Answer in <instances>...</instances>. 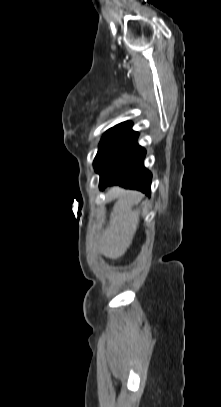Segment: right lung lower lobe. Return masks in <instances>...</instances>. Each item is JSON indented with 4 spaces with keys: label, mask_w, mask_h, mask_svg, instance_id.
Wrapping results in <instances>:
<instances>
[{
    "label": "right lung lower lobe",
    "mask_w": 221,
    "mask_h": 407,
    "mask_svg": "<svg viewBox=\"0 0 221 407\" xmlns=\"http://www.w3.org/2000/svg\"><path fill=\"white\" fill-rule=\"evenodd\" d=\"M138 133L130 138L108 165L99 173L100 188L118 184L151 193V172L143 164L146 151L137 144Z\"/></svg>",
    "instance_id": "1"
}]
</instances>
